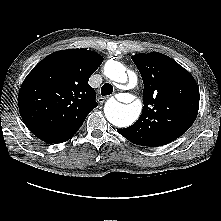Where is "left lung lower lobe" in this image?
Instances as JSON below:
<instances>
[{
    "label": "left lung lower lobe",
    "mask_w": 221,
    "mask_h": 221,
    "mask_svg": "<svg viewBox=\"0 0 221 221\" xmlns=\"http://www.w3.org/2000/svg\"><path fill=\"white\" fill-rule=\"evenodd\" d=\"M122 136H124L126 139H129L128 133L124 129H118L117 130Z\"/></svg>",
    "instance_id": "0a47b994"
}]
</instances>
